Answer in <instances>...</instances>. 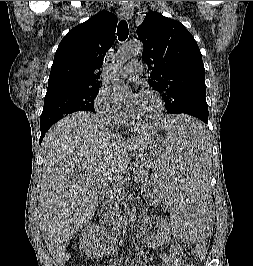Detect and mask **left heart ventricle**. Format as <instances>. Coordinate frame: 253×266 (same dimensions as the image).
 <instances>
[{"mask_svg": "<svg viewBox=\"0 0 253 266\" xmlns=\"http://www.w3.org/2000/svg\"><path fill=\"white\" fill-rule=\"evenodd\" d=\"M126 106L130 116L138 124L151 122L158 112V105L155 99L149 95L129 96L126 100Z\"/></svg>", "mask_w": 253, "mask_h": 266, "instance_id": "obj_1", "label": "left heart ventricle"}]
</instances>
